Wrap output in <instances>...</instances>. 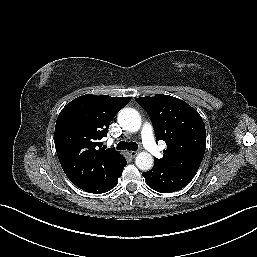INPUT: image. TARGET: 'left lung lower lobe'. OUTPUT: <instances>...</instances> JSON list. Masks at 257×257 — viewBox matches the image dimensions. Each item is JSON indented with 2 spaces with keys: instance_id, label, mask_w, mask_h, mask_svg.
Here are the masks:
<instances>
[{
  "instance_id": "left-lung-lower-lobe-1",
  "label": "left lung lower lobe",
  "mask_w": 257,
  "mask_h": 257,
  "mask_svg": "<svg viewBox=\"0 0 257 257\" xmlns=\"http://www.w3.org/2000/svg\"><path fill=\"white\" fill-rule=\"evenodd\" d=\"M142 175L153 190L171 193L185 187L195 174L174 166L154 163L153 168Z\"/></svg>"
}]
</instances>
